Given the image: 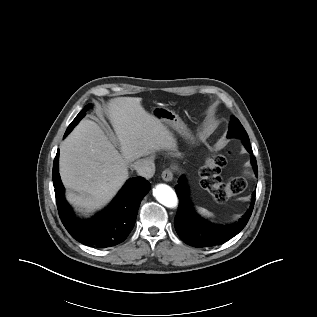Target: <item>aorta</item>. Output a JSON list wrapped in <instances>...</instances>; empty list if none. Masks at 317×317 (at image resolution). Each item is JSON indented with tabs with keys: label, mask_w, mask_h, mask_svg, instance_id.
<instances>
[{
	"label": "aorta",
	"mask_w": 317,
	"mask_h": 317,
	"mask_svg": "<svg viewBox=\"0 0 317 317\" xmlns=\"http://www.w3.org/2000/svg\"><path fill=\"white\" fill-rule=\"evenodd\" d=\"M156 200L167 208H175L178 205V198L174 190L166 184H158L153 189Z\"/></svg>",
	"instance_id": "aorta-1"
}]
</instances>
